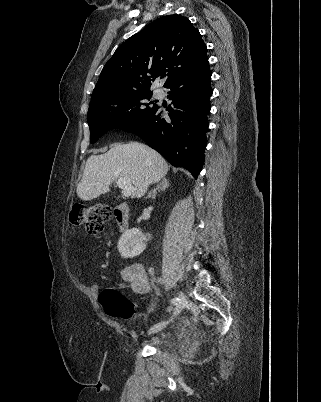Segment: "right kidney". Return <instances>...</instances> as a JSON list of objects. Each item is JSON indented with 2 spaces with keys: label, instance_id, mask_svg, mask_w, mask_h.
<instances>
[{
  "label": "right kidney",
  "instance_id": "obj_1",
  "mask_svg": "<svg viewBox=\"0 0 321 402\" xmlns=\"http://www.w3.org/2000/svg\"><path fill=\"white\" fill-rule=\"evenodd\" d=\"M145 236L141 231L132 228L126 231L118 241V251L123 258H133L145 250Z\"/></svg>",
  "mask_w": 321,
  "mask_h": 402
}]
</instances>
